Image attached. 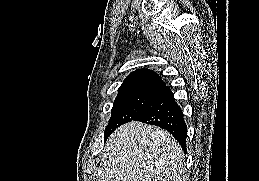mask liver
I'll return each instance as SVG.
<instances>
[{
    "label": "liver",
    "mask_w": 259,
    "mask_h": 181,
    "mask_svg": "<svg viewBox=\"0 0 259 181\" xmlns=\"http://www.w3.org/2000/svg\"><path fill=\"white\" fill-rule=\"evenodd\" d=\"M183 158L166 130L129 122L109 137L97 181H182Z\"/></svg>",
    "instance_id": "obj_1"
}]
</instances>
